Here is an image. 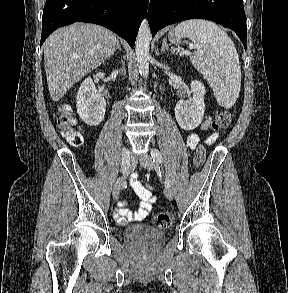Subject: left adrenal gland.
I'll return each instance as SVG.
<instances>
[{
  "label": "left adrenal gland",
  "instance_id": "1",
  "mask_svg": "<svg viewBox=\"0 0 288 293\" xmlns=\"http://www.w3.org/2000/svg\"><path fill=\"white\" fill-rule=\"evenodd\" d=\"M165 50L171 51L172 53H175V49L172 47L171 48L169 47V45L167 44V40H163V42H162L161 53Z\"/></svg>",
  "mask_w": 288,
  "mask_h": 293
}]
</instances>
